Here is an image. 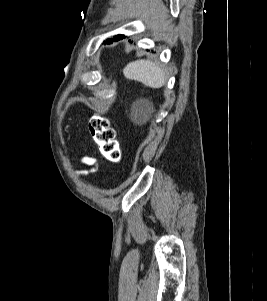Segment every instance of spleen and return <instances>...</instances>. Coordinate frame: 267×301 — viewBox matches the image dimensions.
I'll return each mask as SVG.
<instances>
[{
	"mask_svg": "<svg viewBox=\"0 0 267 301\" xmlns=\"http://www.w3.org/2000/svg\"><path fill=\"white\" fill-rule=\"evenodd\" d=\"M127 79L142 82L151 88H160L165 84L166 77L161 67L150 60H137L126 65L123 70Z\"/></svg>",
	"mask_w": 267,
	"mask_h": 301,
	"instance_id": "1",
	"label": "spleen"
}]
</instances>
